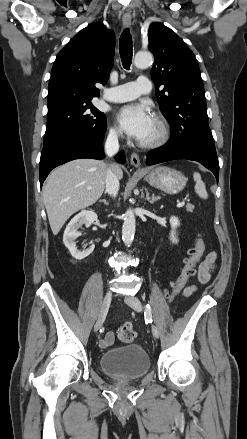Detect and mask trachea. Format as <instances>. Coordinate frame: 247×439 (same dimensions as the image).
Instances as JSON below:
<instances>
[{
	"label": "trachea",
	"mask_w": 247,
	"mask_h": 439,
	"mask_svg": "<svg viewBox=\"0 0 247 439\" xmlns=\"http://www.w3.org/2000/svg\"><path fill=\"white\" fill-rule=\"evenodd\" d=\"M119 53L122 61V65L125 69L129 70L132 63V37L129 29H125L120 36L119 41Z\"/></svg>",
	"instance_id": "trachea-1"
}]
</instances>
